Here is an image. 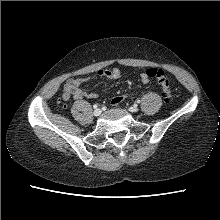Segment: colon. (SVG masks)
I'll return each instance as SVG.
<instances>
[{"label":"colon","instance_id":"1","mask_svg":"<svg viewBox=\"0 0 220 220\" xmlns=\"http://www.w3.org/2000/svg\"><path fill=\"white\" fill-rule=\"evenodd\" d=\"M145 75L148 78H154L157 80V82L162 87V93L167 102L172 100V93L170 90L171 81L170 79L165 75V73L157 68H148L145 72ZM63 104H66L69 100V94L64 93L61 97Z\"/></svg>","mask_w":220,"mask_h":220}]
</instances>
